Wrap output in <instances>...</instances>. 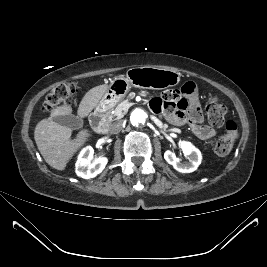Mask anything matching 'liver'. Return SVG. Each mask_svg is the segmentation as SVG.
Listing matches in <instances>:
<instances>
[{
  "label": "liver",
  "mask_w": 267,
  "mask_h": 267,
  "mask_svg": "<svg viewBox=\"0 0 267 267\" xmlns=\"http://www.w3.org/2000/svg\"><path fill=\"white\" fill-rule=\"evenodd\" d=\"M107 88L108 86L103 84L90 89L79 104V116L86 117L95 108ZM71 112L72 107L69 104H63L53 109L48 119H44L36 125L34 132L37 147L46 163L61 171L90 137L88 130H82L76 138L71 139L72 129L57 124L53 120L57 116L69 115Z\"/></svg>",
  "instance_id": "liver-1"
}]
</instances>
